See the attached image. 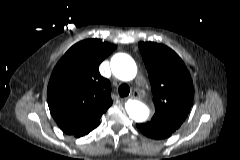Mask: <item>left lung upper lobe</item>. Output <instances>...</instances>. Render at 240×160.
<instances>
[{
    "mask_svg": "<svg viewBox=\"0 0 240 160\" xmlns=\"http://www.w3.org/2000/svg\"><path fill=\"white\" fill-rule=\"evenodd\" d=\"M148 71L155 114V126L174 133L188 116L194 99V86L182 59L169 47L155 42H139Z\"/></svg>",
    "mask_w": 240,
    "mask_h": 160,
    "instance_id": "obj_1",
    "label": "left lung upper lobe"
}]
</instances>
